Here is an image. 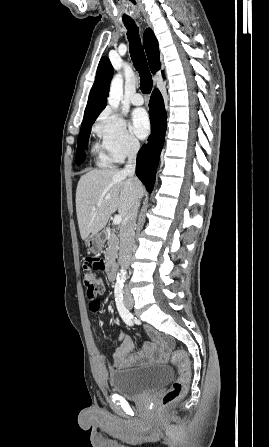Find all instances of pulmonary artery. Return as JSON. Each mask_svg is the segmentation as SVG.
Here are the masks:
<instances>
[{
    "label": "pulmonary artery",
    "mask_w": 269,
    "mask_h": 447,
    "mask_svg": "<svg viewBox=\"0 0 269 447\" xmlns=\"http://www.w3.org/2000/svg\"><path fill=\"white\" fill-rule=\"evenodd\" d=\"M130 102L133 105H142L144 104V97L142 96V94L139 93H134L131 97H130Z\"/></svg>",
    "instance_id": "1"
}]
</instances>
